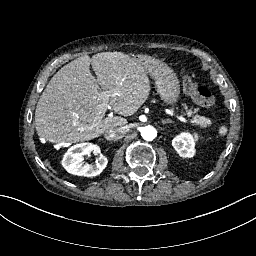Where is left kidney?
<instances>
[{
    "label": "left kidney",
    "instance_id": "5707ae66",
    "mask_svg": "<svg viewBox=\"0 0 256 256\" xmlns=\"http://www.w3.org/2000/svg\"><path fill=\"white\" fill-rule=\"evenodd\" d=\"M198 139L199 136L197 133L192 135L189 132H181L179 135L173 138L172 146L180 157L192 158L196 153L195 141Z\"/></svg>",
    "mask_w": 256,
    "mask_h": 256
}]
</instances>
